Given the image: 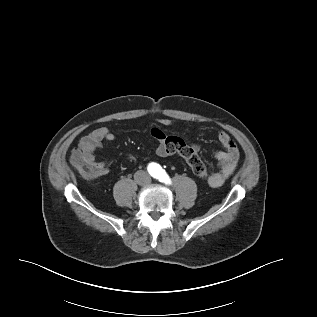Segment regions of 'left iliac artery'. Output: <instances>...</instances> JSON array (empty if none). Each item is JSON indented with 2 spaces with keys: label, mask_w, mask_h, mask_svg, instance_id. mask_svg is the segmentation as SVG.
Here are the masks:
<instances>
[{
  "label": "left iliac artery",
  "mask_w": 317,
  "mask_h": 317,
  "mask_svg": "<svg viewBox=\"0 0 317 317\" xmlns=\"http://www.w3.org/2000/svg\"><path fill=\"white\" fill-rule=\"evenodd\" d=\"M158 179L160 182H163L167 185H170L172 182H171V179L170 177L168 176V174L165 172V171H161L159 176H158Z\"/></svg>",
  "instance_id": "44dca946"
}]
</instances>
